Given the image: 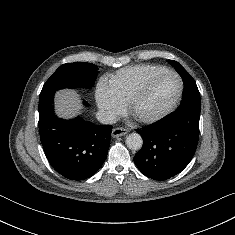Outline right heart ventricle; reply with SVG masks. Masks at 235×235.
Listing matches in <instances>:
<instances>
[{"label":"right heart ventricle","mask_w":235,"mask_h":235,"mask_svg":"<svg viewBox=\"0 0 235 235\" xmlns=\"http://www.w3.org/2000/svg\"><path fill=\"white\" fill-rule=\"evenodd\" d=\"M165 70L163 66L152 64L128 66L109 75L105 86L122 106H126L150 76Z\"/></svg>","instance_id":"right-heart-ventricle-1"}]
</instances>
